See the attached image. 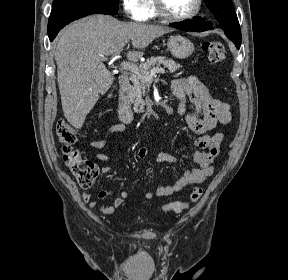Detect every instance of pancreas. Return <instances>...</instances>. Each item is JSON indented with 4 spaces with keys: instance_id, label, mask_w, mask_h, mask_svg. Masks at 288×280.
I'll return each mask as SVG.
<instances>
[{
    "instance_id": "cf45deb5",
    "label": "pancreas",
    "mask_w": 288,
    "mask_h": 280,
    "mask_svg": "<svg viewBox=\"0 0 288 280\" xmlns=\"http://www.w3.org/2000/svg\"><path fill=\"white\" fill-rule=\"evenodd\" d=\"M163 65L168 68L170 72L177 71L181 66L177 64L173 59H167L165 57H151L147 59L146 62L141 63L139 68V73L132 74L131 81L133 86L129 89L128 96L130 101L133 103L134 111L136 113H143L145 111L146 102L143 97L146 93L147 81L143 78L144 72L152 70L154 67H159Z\"/></svg>"
}]
</instances>
